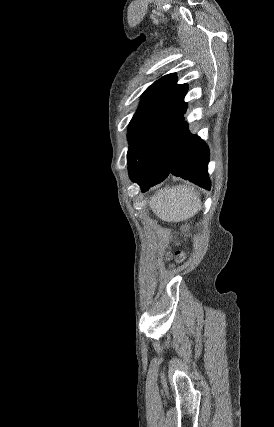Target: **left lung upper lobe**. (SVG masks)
Masks as SVG:
<instances>
[{
	"label": "left lung upper lobe",
	"instance_id": "left-lung-upper-lobe-1",
	"mask_svg": "<svg viewBox=\"0 0 274 427\" xmlns=\"http://www.w3.org/2000/svg\"><path fill=\"white\" fill-rule=\"evenodd\" d=\"M186 88V84H176L175 74H168L155 81L144 92L140 107L128 127V170L136 162L141 142L149 129L167 112Z\"/></svg>",
	"mask_w": 274,
	"mask_h": 427
}]
</instances>
